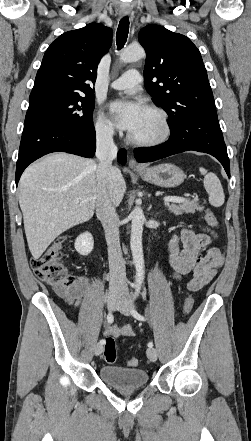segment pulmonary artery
Segmentation results:
<instances>
[{"mask_svg":"<svg viewBox=\"0 0 251 441\" xmlns=\"http://www.w3.org/2000/svg\"><path fill=\"white\" fill-rule=\"evenodd\" d=\"M141 81V74L137 70H129L112 82L111 87L116 90H131L138 86Z\"/></svg>","mask_w":251,"mask_h":441,"instance_id":"1","label":"pulmonary artery"}]
</instances>
